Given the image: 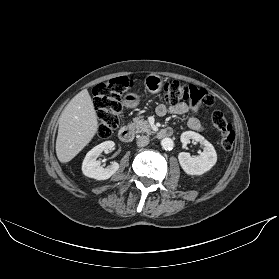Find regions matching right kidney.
<instances>
[{
  "label": "right kidney",
  "mask_w": 279,
  "mask_h": 279,
  "mask_svg": "<svg viewBox=\"0 0 279 279\" xmlns=\"http://www.w3.org/2000/svg\"><path fill=\"white\" fill-rule=\"evenodd\" d=\"M115 143L113 141H105L93 149H91L85 156L82 163V172L89 178L96 180L109 179L119 169V164L113 162L107 167L101 165V161L97 158L103 151L113 150Z\"/></svg>",
  "instance_id": "ca27d5eb"
}]
</instances>
